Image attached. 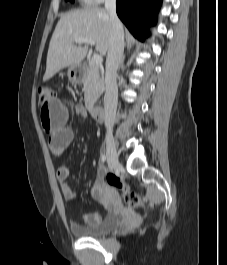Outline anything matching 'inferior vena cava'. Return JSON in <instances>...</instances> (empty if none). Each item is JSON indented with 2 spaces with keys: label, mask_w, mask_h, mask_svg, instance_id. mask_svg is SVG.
<instances>
[{
  "label": "inferior vena cava",
  "mask_w": 227,
  "mask_h": 265,
  "mask_svg": "<svg viewBox=\"0 0 227 265\" xmlns=\"http://www.w3.org/2000/svg\"><path fill=\"white\" fill-rule=\"evenodd\" d=\"M105 9L111 22V42L106 59L104 120L107 130L111 132L117 108L116 78L124 51V32L116 13V0H105Z\"/></svg>",
  "instance_id": "1"
}]
</instances>
